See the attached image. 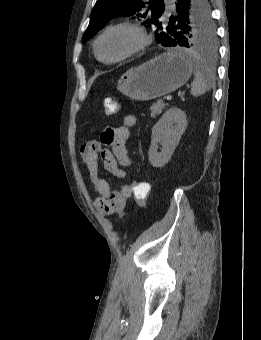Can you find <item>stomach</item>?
Segmentation results:
<instances>
[{"instance_id": "stomach-1", "label": "stomach", "mask_w": 261, "mask_h": 340, "mask_svg": "<svg viewBox=\"0 0 261 340\" xmlns=\"http://www.w3.org/2000/svg\"><path fill=\"white\" fill-rule=\"evenodd\" d=\"M192 71L186 57L168 52L128 70L118 80L117 89L132 100L148 101L182 87Z\"/></svg>"}]
</instances>
